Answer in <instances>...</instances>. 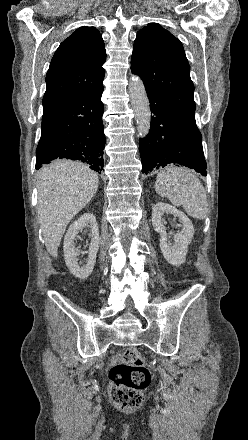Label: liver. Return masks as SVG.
<instances>
[{"mask_svg":"<svg viewBox=\"0 0 248 440\" xmlns=\"http://www.w3.org/2000/svg\"><path fill=\"white\" fill-rule=\"evenodd\" d=\"M98 184L97 173L78 161L57 160L38 172V220L53 257L67 225L93 198Z\"/></svg>","mask_w":248,"mask_h":440,"instance_id":"obj_1","label":"liver"}]
</instances>
